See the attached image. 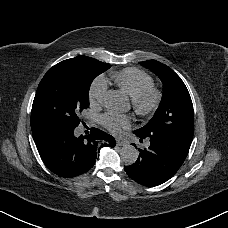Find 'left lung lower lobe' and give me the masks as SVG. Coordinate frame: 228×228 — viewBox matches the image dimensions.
<instances>
[{"label":"left lung lower lobe","instance_id":"1","mask_svg":"<svg viewBox=\"0 0 228 228\" xmlns=\"http://www.w3.org/2000/svg\"><path fill=\"white\" fill-rule=\"evenodd\" d=\"M134 134L140 138V142L149 140L150 146L139 149L137 161L124 169L131 179L148 187L169 180L183 164L192 143V139L163 133L142 135L134 131Z\"/></svg>","mask_w":228,"mask_h":228}]
</instances>
